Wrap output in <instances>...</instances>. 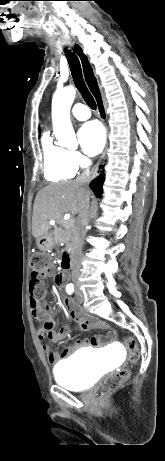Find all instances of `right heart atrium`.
I'll list each match as a JSON object with an SVG mask.
<instances>
[{"instance_id":"1","label":"right heart atrium","mask_w":165,"mask_h":461,"mask_svg":"<svg viewBox=\"0 0 165 461\" xmlns=\"http://www.w3.org/2000/svg\"><path fill=\"white\" fill-rule=\"evenodd\" d=\"M69 159L75 168L82 167L85 164L84 156L75 150L69 151Z\"/></svg>"}]
</instances>
